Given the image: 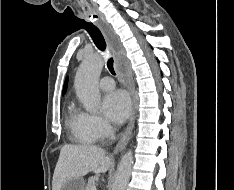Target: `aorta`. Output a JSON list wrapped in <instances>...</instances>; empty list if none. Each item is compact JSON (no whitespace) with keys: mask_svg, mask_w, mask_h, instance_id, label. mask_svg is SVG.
Segmentation results:
<instances>
[{"mask_svg":"<svg viewBox=\"0 0 234 190\" xmlns=\"http://www.w3.org/2000/svg\"><path fill=\"white\" fill-rule=\"evenodd\" d=\"M104 66V60L99 54L87 55L81 62L75 77L76 93L85 107L91 113L99 108L101 97L98 81ZM133 165V153L126 152L119 164L112 190H125L130 179Z\"/></svg>","mask_w":234,"mask_h":190,"instance_id":"762f6f07","label":"aorta"}]
</instances>
